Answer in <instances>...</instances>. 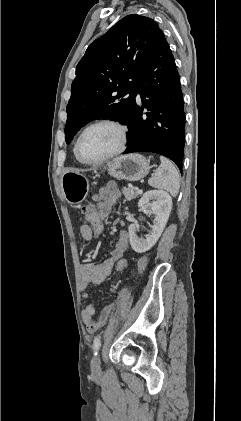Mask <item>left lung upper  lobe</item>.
Instances as JSON below:
<instances>
[{
  "label": "left lung upper lobe",
  "mask_w": 241,
  "mask_h": 421,
  "mask_svg": "<svg viewBox=\"0 0 241 421\" xmlns=\"http://www.w3.org/2000/svg\"><path fill=\"white\" fill-rule=\"evenodd\" d=\"M160 31L153 19L131 14L89 45L71 86L67 144L81 127L95 119H111L129 127L138 76Z\"/></svg>",
  "instance_id": "1"
}]
</instances>
